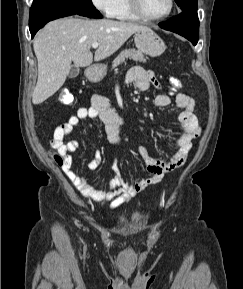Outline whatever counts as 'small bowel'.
Returning <instances> with one entry per match:
<instances>
[{
  "label": "small bowel",
  "instance_id": "c3829d8e",
  "mask_svg": "<svg viewBox=\"0 0 243 289\" xmlns=\"http://www.w3.org/2000/svg\"><path fill=\"white\" fill-rule=\"evenodd\" d=\"M126 82L134 83L141 91L147 90L151 84L156 88H160V83L155 74L140 66H135L128 71ZM170 103L171 99L167 94H159L154 99V105L158 108L167 107ZM175 105L181 110L178 119L183 127L182 134L175 142L176 151L168 159H157L150 157L145 147H139L138 152L146 164L149 176L134 184L123 178L117 160L112 164L114 175L107 183L106 188L95 187L85 175H77L73 169L72 153L78 150L79 143L72 135L74 128L83 120L99 119L104 126L109 142L116 146L123 145L120 129L125 120L110 109L109 99L105 95H94L89 107H79L76 114L58 125L52 134L50 144L57 150L56 155L62 159L59 165L64 174L82 196L96 202H109L110 209L117 210L125 206L132 197L145 188L161 182L166 173L174 171L185 163L193 141L200 135V121L196 115L195 102L190 96L184 93L177 94ZM101 162L102 153L97 150L93 159L87 164V171L98 170Z\"/></svg>",
  "mask_w": 243,
  "mask_h": 289
}]
</instances>
